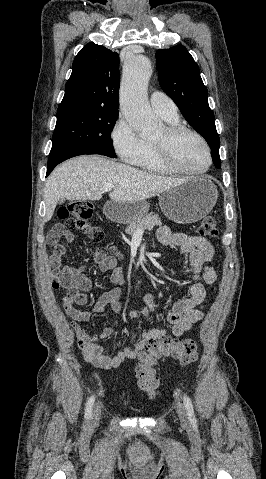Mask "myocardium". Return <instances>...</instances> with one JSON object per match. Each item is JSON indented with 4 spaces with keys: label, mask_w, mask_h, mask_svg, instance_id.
<instances>
[{
    "label": "myocardium",
    "mask_w": 266,
    "mask_h": 479,
    "mask_svg": "<svg viewBox=\"0 0 266 479\" xmlns=\"http://www.w3.org/2000/svg\"><path fill=\"white\" fill-rule=\"evenodd\" d=\"M189 133L195 136L203 145L206 155H207V164L201 170L189 171L179 167L174 161L171 154V142L175 137L180 134ZM153 143L156 148V152L161 163L173 173L184 174V175H202L206 173L213 162L211 148L207 140L195 129L188 127L183 124H168L164 127V134L160 138L153 139Z\"/></svg>",
    "instance_id": "myocardium-1"
}]
</instances>
